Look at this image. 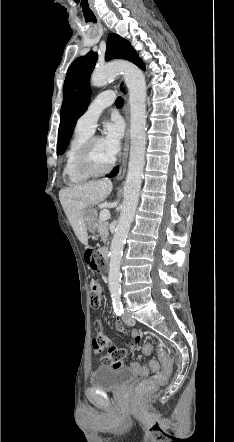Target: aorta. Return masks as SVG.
<instances>
[{
  "label": "aorta",
  "mask_w": 234,
  "mask_h": 442,
  "mask_svg": "<svg viewBox=\"0 0 234 442\" xmlns=\"http://www.w3.org/2000/svg\"><path fill=\"white\" fill-rule=\"evenodd\" d=\"M123 74L129 90L130 157L124 185V200L118 224L112 238L109 257V290L113 295L121 291L120 263L124 244L138 205L146 152V81L142 71L133 63L120 61L95 69L90 83L102 87Z\"/></svg>",
  "instance_id": "aorta-1"
}]
</instances>
